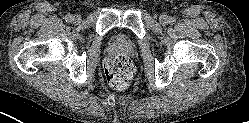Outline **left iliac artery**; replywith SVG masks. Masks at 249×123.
<instances>
[{
    "mask_svg": "<svg viewBox=\"0 0 249 123\" xmlns=\"http://www.w3.org/2000/svg\"><path fill=\"white\" fill-rule=\"evenodd\" d=\"M176 22L175 18L174 17H170L169 18V23L170 24H174Z\"/></svg>",
    "mask_w": 249,
    "mask_h": 123,
    "instance_id": "obj_1",
    "label": "left iliac artery"
}]
</instances>
